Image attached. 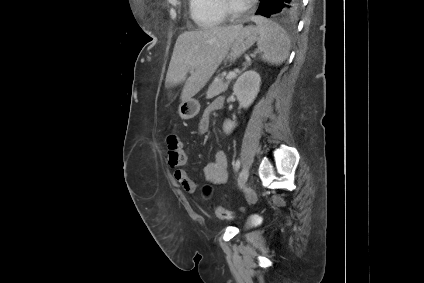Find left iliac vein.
Wrapping results in <instances>:
<instances>
[{"mask_svg": "<svg viewBox=\"0 0 424 283\" xmlns=\"http://www.w3.org/2000/svg\"><path fill=\"white\" fill-rule=\"evenodd\" d=\"M248 176H249V170H248V168L246 166H244L242 168V170H241V172L239 174V178H238V186L240 188H242L245 185Z\"/></svg>", "mask_w": 424, "mask_h": 283, "instance_id": "1", "label": "left iliac vein"}]
</instances>
